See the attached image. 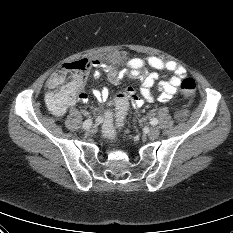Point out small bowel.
Instances as JSON below:
<instances>
[{
  "label": "small bowel",
  "instance_id": "1",
  "mask_svg": "<svg viewBox=\"0 0 233 233\" xmlns=\"http://www.w3.org/2000/svg\"><path fill=\"white\" fill-rule=\"evenodd\" d=\"M91 64L104 71L110 82L117 85L124 77H131L140 80V95L133 87H128L124 94L129 104L134 108H140L145 103H153L155 96L153 88L157 85L160 102L169 101L176 93L182 79L186 76V69L174 62L166 61L156 56L145 58L127 59L121 52H113L103 59L95 58ZM151 67L154 71H147ZM171 73L169 78L166 74ZM52 75L46 81V87L50 90L46 94V105L49 111L56 117L63 116L77 102L87 104L88 95L85 92L86 79L76 85L57 87L52 83ZM93 96L101 102L109 97L107 88L92 90Z\"/></svg>",
  "mask_w": 233,
  "mask_h": 233
}]
</instances>
